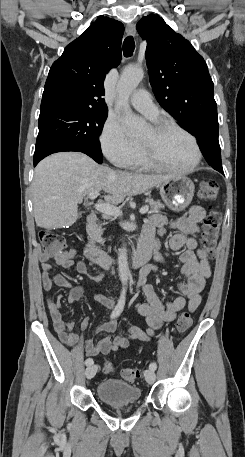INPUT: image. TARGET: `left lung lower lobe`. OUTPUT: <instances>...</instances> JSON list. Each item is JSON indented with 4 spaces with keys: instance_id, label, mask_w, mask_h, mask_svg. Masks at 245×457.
<instances>
[{
    "instance_id": "0a47b994",
    "label": "left lung lower lobe",
    "mask_w": 245,
    "mask_h": 457,
    "mask_svg": "<svg viewBox=\"0 0 245 457\" xmlns=\"http://www.w3.org/2000/svg\"><path fill=\"white\" fill-rule=\"evenodd\" d=\"M198 145L210 166L223 173L221 163V151L218 141V124H211L208 127L200 128L193 134Z\"/></svg>"
}]
</instances>
